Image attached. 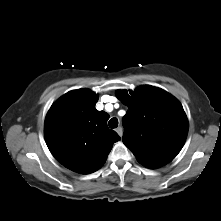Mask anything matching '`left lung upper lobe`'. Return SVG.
I'll return each instance as SVG.
<instances>
[{
  "instance_id": "left-lung-upper-lobe-1",
  "label": "left lung upper lobe",
  "mask_w": 221,
  "mask_h": 221,
  "mask_svg": "<svg viewBox=\"0 0 221 221\" xmlns=\"http://www.w3.org/2000/svg\"><path fill=\"white\" fill-rule=\"evenodd\" d=\"M129 110L123 117V143L144 166L165 165L181 150L188 120L181 103L168 92L150 85L134 91L118 90Z\"/></svg>"
}]
</instances>
